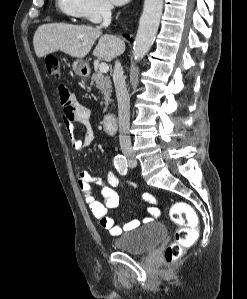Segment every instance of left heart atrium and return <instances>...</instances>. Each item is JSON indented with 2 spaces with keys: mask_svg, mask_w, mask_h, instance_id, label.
Segmentation results:
<instances>
[{
  "mask_svg": "<svg viewBox=\"0 0 247 299\" xmlns=\"http://www.w3.org/2000/svg\"><path fill=\"white\" fill-rule=\"evenodd\" d=\"M113 4L115 5H124L130 0H111Z\"/></svg>",
  "mask_w": 247,
  "mask_h": 299,
  "instance_id": "39dd6f15",
  "label": "left heart atrium"
}]
</instances>
